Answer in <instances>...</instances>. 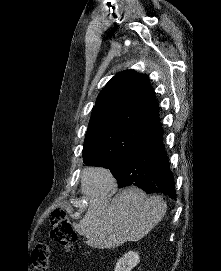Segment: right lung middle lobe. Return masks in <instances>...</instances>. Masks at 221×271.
Returning <instances> with one entry per match:
<instances>
[{"label": "right lung middle lobe", "instance_id": "1", "mask_svg": "<svg viewBox=\"0 0 221 271\" xmlns=\"http://www.w3.org/2000/svg\"><path fill=\"white\" fill-rule=\"evenodd\" d=\"M148 131L108 127L86 134L83 162L87 166L109 168L135 149Z\"/></svg>", "mask_w": 221, "mask_h": 271}]
</instances>
